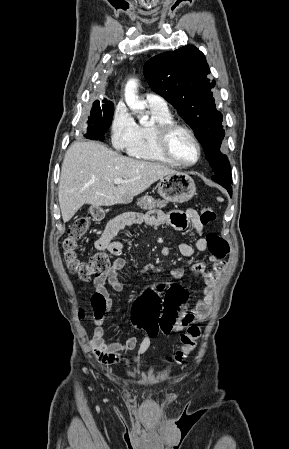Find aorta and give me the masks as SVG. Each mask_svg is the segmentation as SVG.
Instances as JSON below:
<instances>
[{
  "label": "aorta",
  "mask_w": 289,
  "mask_h": 449,
  "mask_svg": "<svg viewBox=\"0 0 289 449\" xmlns=\"http://www.w3.org/2000/svg\"><path fill=\"white\" fill-rule=\"evenodd\" d=\"M138 80L135 78L129 79L125 86V101L128 107L133 111H142L145 109L144 102L139 100L137 95ZM147 117H140V121L144 122Z\"/></svg>",
  "instance_id": "obj_1"
}]
</instances>
